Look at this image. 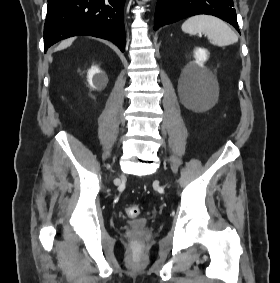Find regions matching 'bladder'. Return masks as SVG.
<instances>
[{"instance_id": "obj_1", "label": "bladder", "mask_w": 280, "mask_h": 283, "mask_svg": "<svg viewBox=\"0 0 280 283\" xmlns=\"http://www.w3.org/2000/svg\"><path fill=\"white\" fill-rule=\"evenodd\" d=\"M149 224L150 220L147 218L135 219L128 222L129 227L134 230H144L149 226Z\"/></svg>"}]
</instances>
